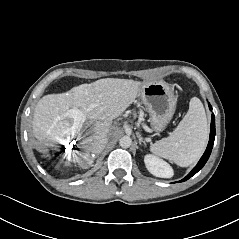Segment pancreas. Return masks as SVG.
Here are the masks:
<instances>
[{
	"instance_id": "1",
	"label": "pancreas",
	"mask_w": 239,
	"mask_h": 239,
	"mask_svg": "<svg viewBox=\"0 0 239 239\" xmlns=\"http://www.w3.org/2000/svg\"><path fill=\"white\" fill-rule=\"evenodd\" d=\"M140 116H141V117H143V116H144V114H143V113H140Z\"/></svg>"
}]
</instances>
